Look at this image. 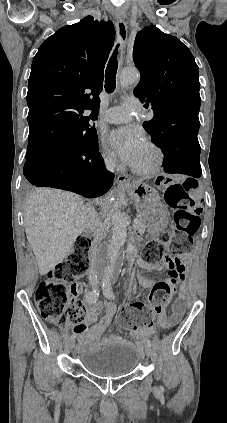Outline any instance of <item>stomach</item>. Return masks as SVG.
Returning a JSON list of instances; mask_svg holds the SVG:
<instances>
[{"label": "stomach", "mask_w": 227, "mask_h": 423, "mask_svg": "<svg viewBox=\"0 0 227 423\" xmlns=\"http://www.w3.org/2000/svg\"><path fill=\"white\" fill-rule=\"evenodd\" d=\"M124 190H127L129 196L133 198L136 204V210L146 217L148 211L151 210L153 204H156L159 196L155 188L143 184V182H127L126 186H122Z\"/></svg>", "instance_id": "stomach-1"}]
</instances>
